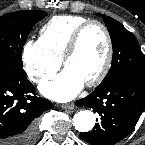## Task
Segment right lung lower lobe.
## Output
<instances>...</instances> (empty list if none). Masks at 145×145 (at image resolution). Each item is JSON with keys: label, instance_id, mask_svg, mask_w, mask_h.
Instances as JSON below:
<instances>
[{"label": "right lung lower lobe", "instance_id": "1", "mask_svg": "<svg viewBox=\"0 0 145 145\" xmlns=\"http://www.w3.org/2000/svg\"><path fill=\"white\" fill-rule=\"evenodd\" d=\"M51 107L36 96L22 67H0V145H35L38 117Z\"/></svg>", "mask_w": 145, "mask_h": 145}]
</instances>
